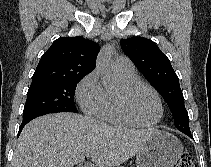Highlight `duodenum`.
<instances>
[{
  "mask_svg": "<svg viewBox=\"0 0 211 167\" xmlns=\"http://www.w3.org/2000/svg\"><path fill=\"white\" fill-rule=\"evenodd\" d=\"M78 167H90V166L87 164H82V165H79Z\"/></svg>",
  "mask_w": 211,
  "mask_h": 167,
  "instance_id": "1",
  "label": "duodenum"
}]
</instances>
